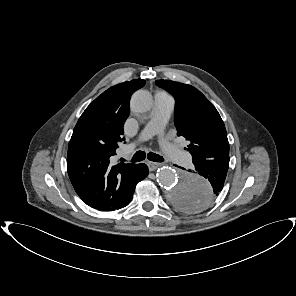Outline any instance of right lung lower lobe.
<instances>
[{"instance_id": "obj_1", "label": "right lung lower lobe", "mask_w": 296, "mask_h": 296, "mask_svg": "<svg viewBox=\"0 0 296 296\" xmlns=\"http://www.w3.org/2000/svg\"><path fill=\"white\" fill-rule=\"evenodd\" d=\"M148 175V167L145 164H135L129 173V192L120 208L127 206L132 200L136 184ZM119 208V209H120Z\"/></svg>"}]
</instances>
